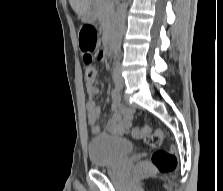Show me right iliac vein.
Masks as SVG:
<instances>
[{"label": "right iliac vein", "instance_id": "1", "mask_svg": "<svg viewBox=\"0 0 223 191\" xmlns=\"http://www.w3.org/2000/svg\"><path fill=\"white\" fill-rule=\"evenodd\" d=\"M115 83H116V86H117V87H120L121 84H120L119 81H116Z\"/></svg>", "mask_w": 223, "mask_h": 191}]
</instances>
